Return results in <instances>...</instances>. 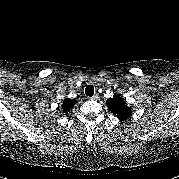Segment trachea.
I'll list each match as a JSON object with an SVG mask.
<instances>
[{
	"instance_id": "obj_1",
	"label": "trachea",
	"mask_w": 179,
	"mask_h": 179,
	"mask_svg": "<svg viewBox=\"0 0 179 179\" xmlns=\"http://www.w3.org/2000/svg\"><path fill=\"white\" fill-rule=\"evenodd\" d=\"M85 94L89 97H92L94 95V87L92 85H88L85 88Z\"/></svg>"
}]
</instances>
